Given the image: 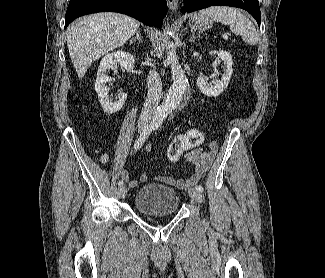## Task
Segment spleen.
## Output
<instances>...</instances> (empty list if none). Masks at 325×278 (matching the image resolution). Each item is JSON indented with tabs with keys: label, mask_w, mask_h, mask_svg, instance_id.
<instances>
[{
	"label": "spleen",
	"mask_w": 325,
	"mask_h": 278,
	"mask_svg": "<svg viewBox=\"0 0 325 278\" xmlns=\"http://www.w3.org/2000/svg\"><path fill=\"white\" fill-rule=\"evenodd\" d=\"M199 13L228 25L234 34L242 36L245 43L249 45L258 43V33L254 25L240 10L227 6H212L201 10Z\"/></svg>",
	"instance_id": "1"
}]
</instances>
